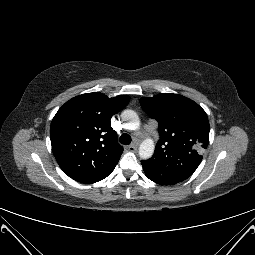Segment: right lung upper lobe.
<instances>
[{"mask_svg": "<svg viewBox=\"0 0 255 255\" xmlns=\"http://www.w3.org/2000/svg\"><path fill=\"white\" fill-rule=\"evenodd\" d=\"M128 102L126 95L108 98L94 92L76 96L58 110L50 127L51 145L69 177L95 183L111 174L123 148L110 120Z\"/></svg>", "mask_w": 255, "mask_h": 255, "instance_id": "right-lung-upper-lobe-1", "label": "right lung upper lobe"}]
</instances>
